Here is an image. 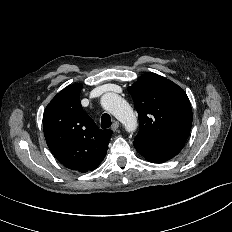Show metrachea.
<instances>
[{
	"label": "trachea",
	"instance_id": "1",
	"mask_svg": "<svg viewBox=\"0 0 232 232\" xmlns=\"http://www.w3.org/2000/svg\"><path fill=\"white\" fill-rule=\"evenodd\" d=\"M111 117L108 113H104L101 118V128L106 129L111 126Z\"/></svg>",
	"mask_w": 232,
	"mask_h": 232
}]
</instances>
